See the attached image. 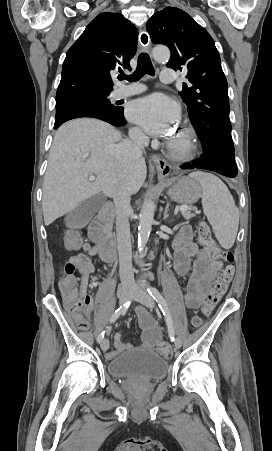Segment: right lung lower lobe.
Segmentation results:
<instances>
[{"mask_svg": "<svg viewBox=\"0 0 272 451\" xmlns=\"http://www.w3.org/2000/svg\"><path fill=\"white\" fill-rule=\"evenodd\" d=\"M81 117H92L97 118L103 121H106L114 126H122L126 124V120L124 119L123 109L122 112L119 113L117 116H107L103 114H99L97 112L93 111H87V110H80L68 113L60 118H57L55 121L54 128L57 129L61 124L64 122L75 119V118H81Z\"/></svg>", "mask_w": 272, "mask_h": 451, "instance_id": "obj_1", "label": "right lung lower lobe"}]
</instances>
